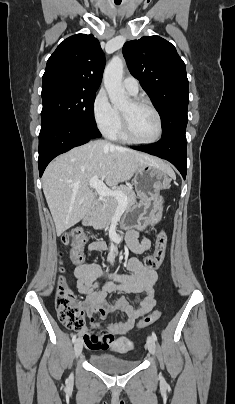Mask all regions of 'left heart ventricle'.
Listing matches in <instances>:
<instances>
[{
  "mask_svg": "<svg viewBox=\"0 0 235 404\" xmlns=\"http://www.w3.org/2000/svg\"><path fill=\"white\" fill-rule=\"evenodd\" d=\"M129 121L133 136L141 141H149L156 137L158 123L155 114L146 107H135L131 101L122 109Z\"/></svg>",
  "mask_w": 235,
  "mask_h": 404,
  "instance_id": "obj_1",
  "label": "left heart ventricle"
}]
</instances>
